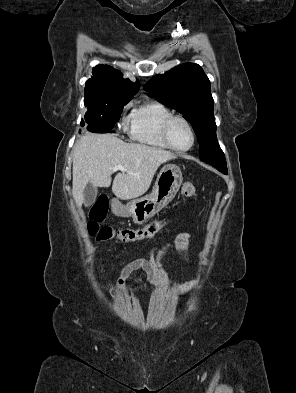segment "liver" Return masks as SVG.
Wrapping results in <instances>:
<instances>
[{
  "mask_svg": "<svg viewBox=\"0 0 296 393\" xmlns=\"http://www.w3.org/2000/svg\"><path fill=\"white\" fill-rule=\"evenodd\" d=\"M176 155L159 148L125 143L111 134L86 133L73 149V198L78 206L84 202V189L109 187L113 168L124 167L112 184L117 198L129 200L143 195L150 187L158 167Z\"/></svg>",
  "mask_w": 296,
  "mask_h": 393,
  "instance_id": "1",
  "label": "liver"
}]
</instances>
